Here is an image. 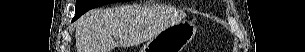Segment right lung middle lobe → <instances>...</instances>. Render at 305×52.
<instances>
[{"label":"right lung middle lobe","mask_w":305,"mask_h":52,"mask_svg":"<svg viewBox=\"0 0 305 52\" xmlns=\"http://www.w3.org/2000/svg\"><path fill=\"white\" fill-rule=\"evenodd\" d=\"M117 1L125 0H76V15L74 17V20L79 18L82 14H84L90 9Z\"/></svg>","instance_id":"dd1d6c3e"}]
</instances>
